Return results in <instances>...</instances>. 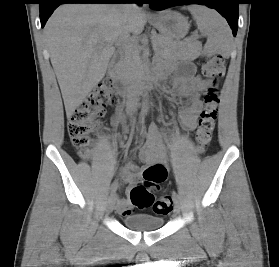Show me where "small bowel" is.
I'll return each mask as SVG.
<instances>
[{
  "label": "small bowel",
  "instance_id": "obj_1",
  "mask_svg": "<svg viewBox=\"0 0 279 267\" xmlns=\"http://www.w3.org/2000/svg\"><path fill=\"white\" fill-rule=\"evenodd\" d=\"M174 70L173 65L166 67L158 66L155 69V73L161 76L164 72H172ZM209 85V81L203 80L196 74V67L192 63H185L177 71L174 79L173 93L182 102L180 114L185 129L193 130L195 128L198 114L201 110L200 93ZM117 122L115 121L114 124L116 125ZM140 157L149 166L162 168L165 171L166 179L167 161L165 145L155 125L149 127L147 140L140 151ZM121 177L128 184L127 192L129 193L131 188L139 180L140 172L133 162H127L121 170ZM134 207L130 197H123L117 200L116 210L122 215L131 214Z\"/></svg>",
  "mask_w": 279,
  "mask_h": 267
}]
</instances>
